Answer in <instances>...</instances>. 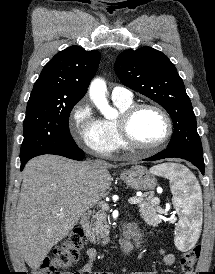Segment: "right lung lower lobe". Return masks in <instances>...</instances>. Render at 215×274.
<instances>
[{
	"label": "right lung lower lobe",
	"mask_w": 215,
	"mask_h": 274,
	"mask_svg": "<svg viewBox=\"0 0 215 274\" xmlns=\"http://www.w3.org/2000/svg\"><path fill=\"white\" fill-rule=\"evenodd\" d=\"M48 154L60 155L75 160H81L84 157V152L78 146L52 151ZM30 159H21V170Z\"/></svg>",
	"instance_id": "obj_1"
}]
</instances>
